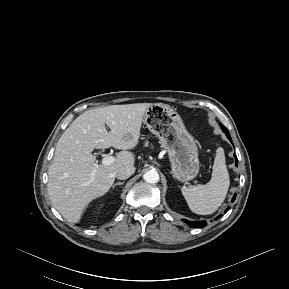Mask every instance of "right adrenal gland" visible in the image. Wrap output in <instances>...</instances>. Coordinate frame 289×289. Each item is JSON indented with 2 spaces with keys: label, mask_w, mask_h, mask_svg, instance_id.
<instances>
[{
  "label": "right adrenal gland",
  "mask_w": 289,
  "mask_h": 289,
  "mask_svg": "<svg viewBox=\"0 0 289 289\" xmlns=\"http://www.w3.org/2000/svg\"><path fill=\"white\" fill-rule=\"evenodd\" d=\"M123 184H124V182H117V183L113 184V188L118 186V185H123Z\"/></svg>",
  "instance_id": "right-adrenal-gland-1"
}]
</instances>
